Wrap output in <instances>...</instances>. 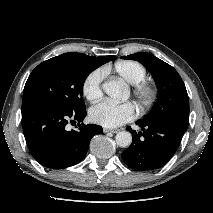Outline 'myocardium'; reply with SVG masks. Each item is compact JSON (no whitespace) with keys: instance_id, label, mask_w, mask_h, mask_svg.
Wrapping results in <instances>:
<instances>
[{"instance_id":"1","label":"myocardium","mask_w":213,"mask_h":213,"mask_svg":"<svg viewBox=\"0 0 213 213\" xmlns=\"http://www.w3.org/2000/svg\"><path fill=\"white\" fill-rule=\"evenodd\" d=\"M132 95L140 106L146 107L155 100L157 89L153 84L141 81L133 85Z\"/></svg>"}]
</instances>
